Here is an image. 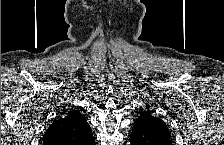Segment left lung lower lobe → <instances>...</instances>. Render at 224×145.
Wrapping results in <instances>:
<instances>
[{
    "mask_svg": "<svg viewBox=\"0 0 224 145\" xmlns=\"http://www.w3.org/2000/svg\"><path fill=\"white\" fill-rule=\"evenodd\" d=\"M130 142L134 145H172L171 141L154 130L153 123L149 118L139 116L132 128Z\"/></svg>",
    "mask_w": 224,
    "mask_h": 145,
    "instance_id": "1",
    "label": "left lung lower lobe"
}]
</instances>
